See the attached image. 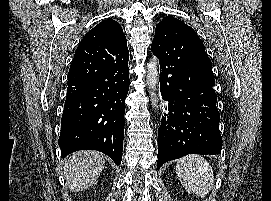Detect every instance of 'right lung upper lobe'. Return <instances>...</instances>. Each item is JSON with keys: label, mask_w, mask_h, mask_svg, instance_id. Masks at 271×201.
Masks as SVG:
<instances>
[{"label": "right lung upper lobe", "mask_w": 271, "mask_h": 201, "mask_svg": "<svg viewBox=\"0 0 271 201\" xmlns=\"http://www.w3.org/2000/svg\"><path fill=\"white\" fill-rule=\"evenodd\" d=\"M82 41H109L114 42L124 49V53L129 54L126 37L122 27L113 19H106L91 29L82 39Z\"/></svg>", "instance_id": "obj_1"}]
</instances>
